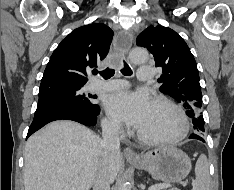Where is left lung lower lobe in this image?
<instances>
[{"label":"left lung lower lobe","instance_id":"1","mask_svg":"<svg viewBox=\"0 0 234 190\" xmlns=\"http://www.w3.org/2000/svg\"><path fill=\"white\" fill-rule=\"evenodd\" d=\"M189 138L190 139H197V140H200L202 142H205L204 139L197 134H191Z\"/></svg>","mask_w":234,"mask_h":190}]
</instances>
